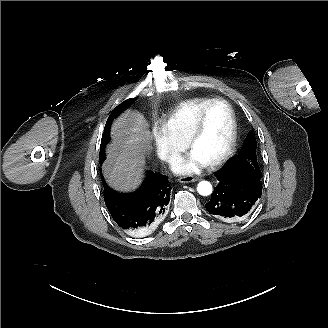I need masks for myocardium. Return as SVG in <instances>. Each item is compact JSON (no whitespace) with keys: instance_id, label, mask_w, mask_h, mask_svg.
<instances>
[{"instance_id":"1","label":"myocardium","mask_w":328,"mask_h":328,"mask_svg":"<svg viewBox=\"0 0 328 328\" xmlns=\"http://www.w3.org/2000/svg\"><path fill=\"white\" fill-rule=\"evenodd\" d=\"M217 104H224L228 107L230 116H231V122H232V133H231V138L229 141V144L224 151L223 154H221L218 158L214 159L213 161L209 162L210 166H219L222 163L226 162L234 153L236 146H237V141H238V122H237V116L234 107L232 104L223 98H215L212 99L209 103H207L204 107L200 109L198 112L197 116L195 117V120L187 134L186 140H185V145L187 148H190L194 140L197 138L199 133L201 132L205 117L208 113V111L215 105Z\"/></svg>"}]
</instances>
